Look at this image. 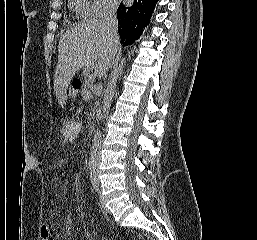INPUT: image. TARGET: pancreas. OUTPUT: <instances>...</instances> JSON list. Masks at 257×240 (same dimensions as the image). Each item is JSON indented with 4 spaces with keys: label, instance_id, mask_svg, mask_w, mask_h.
<instances>
[{
    "label": "pancreas",
    "instance_id": "cf45deb5",
    "mask_svg": "<svg viewBox=\"0 0 257 240\" xmlns=\"http://www.w3.org/2000/svg\"><path fill=\"white\" fill-rule=\"evenodd\" d=\"M90 82H91V80H89V79L86 80L83 87H82L81 95H82L84 100L89 99L88 96H87V93L89 92Z\"/></svg>",
    "mask_w": 257,
    "mask_h": 240
}]
</instances>
